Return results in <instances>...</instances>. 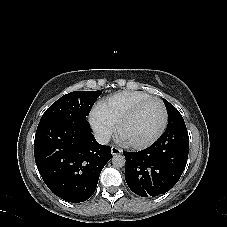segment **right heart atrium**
Returning a JSON list of instances; mask_svg holds the SVG:
<instances>
[{"mask_svg":"<svg viewBox=\"0 0 227 227\" xmlns=\"http://www.w3.org/2000/svg\"><path fill=\"white\" fill-rule=\"evenodd\" d=\"M90 126L101 142H106L115 132L114 124L99 113L95 107L89 118Z\"/></svg>","mask_w":227,"mask_h":227,"instance_id":"1","label":"right heart atrium"}]
</instances>
